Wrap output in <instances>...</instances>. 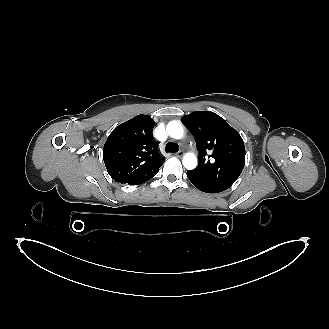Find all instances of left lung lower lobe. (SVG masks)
Here are the masks:
<instances>
[{
    "label": "left lung lower lobe",
    "mask_w": 329,
    "mask_h": 329,
    "mask_svg": "<svg viewBox=\"0 0 329 329\" xmlns=\"http://www.w3.org/2000/svg\"><path fill=\"white\" fill-rule=\"evenodd\" d=\"M187 176L191 181V183L195 185L200 191H203L205 193H219L223 191L217 187L209 185L208 183L196 178L190 171H187Z\"/></svg>",
    "instance_id": "left-lung-lower-lobe-1"
}]
</instances>
